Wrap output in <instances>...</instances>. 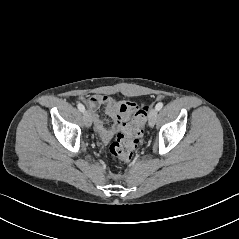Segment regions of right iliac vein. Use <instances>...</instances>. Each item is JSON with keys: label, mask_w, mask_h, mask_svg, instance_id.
I'll list each match as a JSON object with an SVG mask.
<instances>
[{"label": "right iliac vein", "mask_w": 239, "mask_h": 239, "mask_svg": "<svg viewBox=\"0 0 239 239\" xmlns=\"http://www.w3.org/2000/svg\"><path fill=\"white\" fill-rule=\"evenodd\" d=\"M83 121L86 127H90L92 124V120H91V115L88 111H84L83 113Z\"/></svg>", "instance_id": "63e3f726"}]
</instances>
